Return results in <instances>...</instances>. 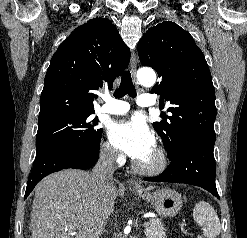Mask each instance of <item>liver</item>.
<instances>
[{
    "label": "liver",
    "mask_w": 247,
    "mask_h": 238,
    "mask_svg": "<svg viewBox=\"0 0 247 238\" xmlns=\"http://www.w3.org/2000/svg\"><path fill=\"white\" fill-rule=\"evenodd\" d=\"M116 197L114 184L99 187L85 171L53 173L35 187L31 238H99Z\"/></svg>",
    "instance_id": "6515ba94"
}]
</instances>
